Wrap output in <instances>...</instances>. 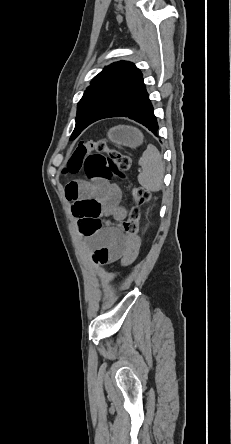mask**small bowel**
<instances>
[{"mask_svg":"<svg viewBox=\"0 0 231 444\" xmlns=\"http://www.w3.org/2000/svg\"><path fill=\"white\" fill-rule=\"evenodd\" d=\"M66 197L74 202L93 200L100 206L99 217L112 218L114 223H107L96 234L89 237L93 245V260L100 264L120 261L130 265L137 257L140 238L125 237L120 223L127 215L126 209L119 202V190L106 180L93 183L72 181L66 187ZM73 205V207H74Z\"/></svg>","mask_w":231,"mask_h":444,"instance_id":"c3829d8e","label":"small bowel"}]
</instances>
